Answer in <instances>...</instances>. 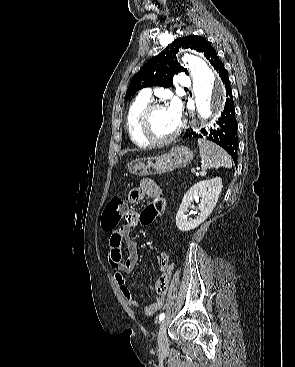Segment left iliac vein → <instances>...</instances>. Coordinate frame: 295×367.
I'll return each mask as SVG.
<instances>
[{"label":"left iliac vein","mask_w":295,"mask_h":367,"mask_svg":"<svg viewBox=\"0 0 295 367\" xmlns=\"http://www.w3.org/2000/svg\"><path fill=\"white\" fill-rule=\"evenodd\" d=\"M167 327H168V320L163 319V321L160 324V329L158 332V347L161 353H166L168 349Z\"/></svg>","instance_id":"left-iliac-vein-1"}]
</instances>
